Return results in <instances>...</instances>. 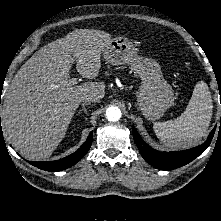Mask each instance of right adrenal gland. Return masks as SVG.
Here are the masks:
<instances>
[{"instance_id": "obj_1", "label": "right adrenal gland", "mask_w": 221, "mask_h": 221, "mask_svg": "<svg viewBox=\"0 0 221 221\" xmlns=\"http://www.w3.org/2000/svg\"><path fill=\"white\" fill-rule=\"evenodd\" d=\"M85 106H86V104H82V105H81V109L78 111V114H79V115H80L81 113H84L85 116L88 115V111L86 110Z\"/></svg>"}]
</instances>
